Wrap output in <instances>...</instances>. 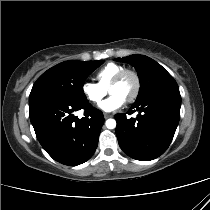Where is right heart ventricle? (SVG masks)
Listing matches in <instances>:
<instances>
[{
	"mask_svg": "<svg viewBox=\"0 0 210 210\" xmlns=\"http://www.w3.org/2000/svg\"><path fill=\"white\" fill-rule=\"evenodd\" d=\"M124 69L125 67L120 64L113 62L107 63L96 72L97 84L105 90L108 89L114 77Z\"/></svg>",
	"mask_w": 210,
	"mask_h": 210,
	"instance_id": "obj_1",
	"label": "right heart ventricle"
}]
</instances>
